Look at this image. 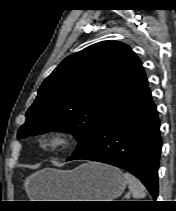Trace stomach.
<instances>
[{
  "instance_id": "0dacf381",
  "label": "stomach",
  "mask_w": 176,
  "mask_h": 211,
  "mask_svg": "<svg viewBox=\"0 0 176 211\" xmlns=\"http://www.w3.org/2000/svg\"><path fill=\"white\" fill-rule=\"evenodd\" d=\"M26 184L34 201H109L124 192L127 180L114 166L87 162L73 170L43 169Z\"/></svg>"
}]
</instances>
